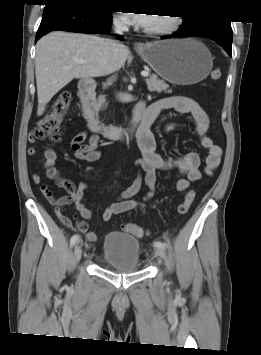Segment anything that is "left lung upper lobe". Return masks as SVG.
<instances>
[{"mask_svg":"<svg viewBox=\"0 0 261 355\" xmlns=\"http://www.w3.org/2000/svg\"><path fill=\"white\" fill-rule=\"evenodd\" d=\"M184 18V24L186 27H196L202 20L205 18H188V17H183Z\"/></svg>","mask_w":261,"mask_h":355,"instance_id":"left-lung-upper-lobe-1","label":"left lung upper lobe"}]
</instances>
